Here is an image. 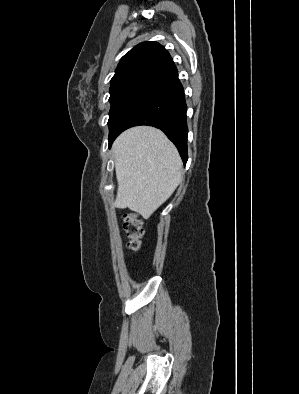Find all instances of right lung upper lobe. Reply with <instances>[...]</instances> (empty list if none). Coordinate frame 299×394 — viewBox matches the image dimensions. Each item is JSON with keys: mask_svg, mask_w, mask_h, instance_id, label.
<instances>
[{"mask_svg": "<svg viewBox=\"0 0 299 394\" xmlns=\"http://www.w3.org/2000/svg\"><path fill=\"white\" fill-rule=\"evenodd\" d=\"M176 70L162 45L154 41L143 42L121 58L111 79L110 90L126 85L149 88Z\"/></svg>", "mask_w": 299, "mask_h": 394, "instance_id": "right-lung-upper-lobe-1", "label": "right lung upper lobe"}]
</instances>
